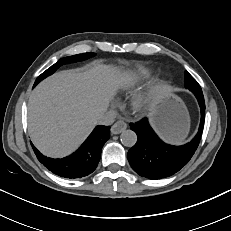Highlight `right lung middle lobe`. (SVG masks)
<instances>
[{"label":"right lung middle lobe","instance_id":"dd1d6c3e","mask_svg":"<svg viewBox=\"0 0 231 231\" xmlns=\"http://www.w3.org/2000/svg\"><path fill=\"white\" fill-rule=\"evenodd\" d=\"M94 56V53H83V54H78L74 56H69L60 59L58 62H56L54 65H52L50 68H48L46 71H44L35 81L34 86H36L41 80L46 78L47 76L53 74L60 66L68 63H74L77 61H82L87 58H90Z\"/></svg>","mask_w":231,"mask_h":231}]
</instances>
